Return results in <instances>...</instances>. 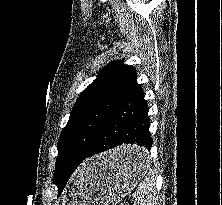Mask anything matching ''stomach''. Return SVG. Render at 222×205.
I'll list each match as a JSON object with an SVG mask.
<instances>
[{
    "mask_svg": "<svg viewBox=\"0 0 222 205\" xmlns=\"http://www.w3.org/2000/svg\"><path fill=\"white\" fill-rule=\"evenodd\" d=\"M122 146L91 158L77 170L65 190L61 205H116L144 178L149 162L124 165L123 152L141 150Z\"/></svg>",
    "mask_w": 222,
    "mask_h": 205,
    "instance_id": "1",
    "label": "stomach"
}]
</instances>
